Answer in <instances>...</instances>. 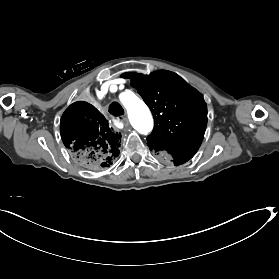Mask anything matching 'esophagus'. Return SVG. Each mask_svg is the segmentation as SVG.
<instances>
[{
	"mask_svg": "<svg viewBox=\"0 0 279 279\" xmlns=\"http://www.w3.org/2000/svg\"><path fill=\"white\" fill-rule=\"evenodd\" d=\"M117 119L124 124V126H129V120L126 116L120 115Z\"/></svg>",
	"mask_w": 279,
	"mask_h": 279,
	"instance_id": "obj_1",
	"label": "esophagus"
}]
</instances>
